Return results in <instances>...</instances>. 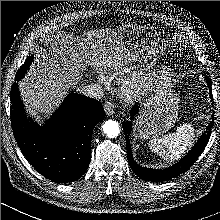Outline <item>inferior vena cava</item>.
<instances>
[{
  "mask_svg": "<svg viewBox=\"0 0 220 220\" xmlns=\"http://www.w3.org/2000/svg\"><path fill=\"white\" fill-rule=\"evenodd\" d=\"M80 92L85 96L95 99H101L104 95L102 87L98 84H89L83 86Z\"/></svg>",
  "mask_w": 220,
  "mask_h": 220,
  "instance_id": "obj_1",
  "label": "inferior vena cava"
}]
</instances>
